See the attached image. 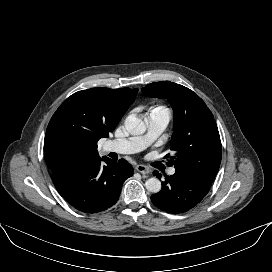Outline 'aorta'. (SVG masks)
I'll use <instances>...</instances> for the list:
<instances>
[{"mask_svg":"<svg viewBox=\"0 0 272 272\" xmlns=\"http://www.w3.org/2000/svg\"><path fill=\"white\" fill-rule=\"evenodd\" d=\"M124 126L131 135H142L146 131L143 120L132 115L125 119ZM145 187L149 192L157 193L161 190V182L158 178L152 177L145 182Z\"/></svg>","mask_w":272,"mask_h":272,"instance_id":"aorta-1","label":"aorta"}]
</instances>
